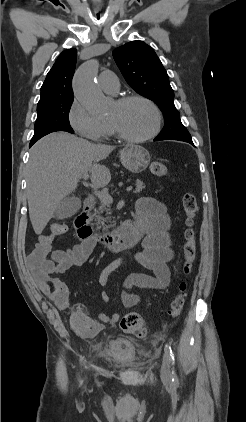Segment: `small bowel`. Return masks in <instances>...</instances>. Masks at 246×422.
<instances>
[{
	"label": "small bowel",
	"mask_w": 246,
	"mask_h": 422,
	"mask_svg": "<svg viewBox=\"0 0 246 422\" xmlns=\"http://www.w3.org/2000/svg\"><path fill=\"white\" fill-rule=\"evenodd\" d=\"M135 221L143 234L142 250L135 253L134 257L154 275L131 274L125 278L121 292V303L125 308L134 307L141 301L140 296L133 292V288L162 290L169 286L171 272L168 263L174 258L172 239L169 233L171 222L163 203L150 197L138 199ZM94 246V241H82L70 248L53 251L48 275L43 279H36L38 289L59 309H72L71 326L78 335L84 338H92L97 335L104 324L117 323L120 316L118 313L99 314L94 319L81 305L71 306L69 289L56 275L65 273L72 267L84 265L91 256ZM122 262V260L111 262L99 274L98 283L103 288L102 299L105 302L109 300L108 294L104 290L109 276L121 266Z\"/></svg>",
	"instance_id": "obj_1"
}]
</instances>
